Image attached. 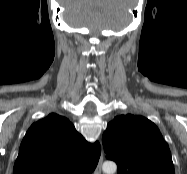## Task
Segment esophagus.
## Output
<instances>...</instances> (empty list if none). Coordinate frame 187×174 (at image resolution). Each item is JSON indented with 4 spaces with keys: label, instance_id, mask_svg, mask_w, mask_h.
Here are the masks:
<instances>
[{
    "label": "esophagus",
    "instance_id": "1",
    "mask_svg": "<svg viewBox=\"0 0 187 174\" xmlns=\"http://www.w3.org/2000/svg\"><path fill=\"white\" fill-rule=\"evenodd\" d=\"M102 163H103V150H102V153H101V156L99 158V161H98V164L96 166L94 174H101V172H102Z\"/></svg>",
    "mask_w": 187,
    "mask_h": 174
}]
</instances>
